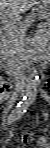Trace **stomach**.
<instances>
[{"label":"stomach","mask_w":50,"mask_h":148,"mask_svg":"<svg viewBox=\"0 0 50 148\" xmlns=\"http://www.w3.org/2000/svg\"><path fill=\"white\" fill-rule=\"evenodd\" d=\"M44 2V6H45V11L47 12V11H49V8H50V1L49 0H44L43 1Z\"/></svg>","instance_id":"obj_1"}]
</instances>
